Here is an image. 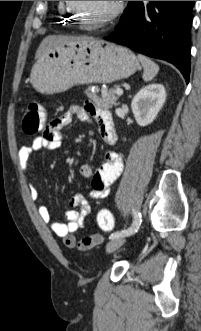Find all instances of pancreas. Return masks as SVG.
Segmentation results:
<instances>
[{
  "label": "pancreas",
  "instance_id": "pancreas-1",
  "mask_svg": "<svg viewBox=\"0 0 201 331\" xmlns=\"http://www.w3.org/2000/svg\"><path fill=\"white\" fill-rule=\"evenodd\" d=\"M92 86H89L85 90V94L99 107L104 109L112 108L113 105H116L118 96H116L115 91L117 88H111L109 91L105 92L102 96H98V89L94 92L91 91Z\"/></svg>",
  "mask_w": 201,
  "mask_h": 331
}]
</instances>
